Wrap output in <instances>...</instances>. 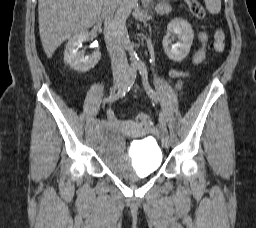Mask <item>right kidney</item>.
Instances as JSON below:
<instances>
[{"label": "right kidney", "mask_w": 256, "mask_h": 228, "mask_svg": "<svg viewBox=\"0 0 256 228\" xmlns=\"http://www.w3.org/2000/svg\"><path fill=\"white\" fill-rule=\"evenodd\" d=\"M89 37L88 31H82L70 38L66 45L64 62L75 71L87 72L94 68L101 58L99 51H95L92 55L86 57H84V51H79V46L89 40Z\"/></svg>", "instance_id": "obj_1"}]
</instances>
